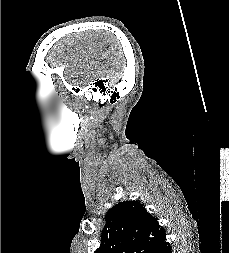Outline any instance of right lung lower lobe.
I'll use <instances>...</instances> for the list:
<instances>
[{
	"label": "right lung lower lobe",
	"instance_id": "1",
	"mask_svg": "<svg viewBox=\"0 0 229 253\" xmlns=\"http://www.w3.org/2000/svg\"><path fill=\"white\" fill-rule=\"evenodd\" d=\"M171 249V245L165 240L155 249L153 253H172Z\"/></svg>",
	"mask_w": 229,
	"mask_h": 253
}]
</instances>
